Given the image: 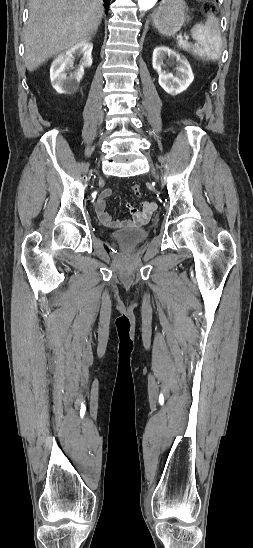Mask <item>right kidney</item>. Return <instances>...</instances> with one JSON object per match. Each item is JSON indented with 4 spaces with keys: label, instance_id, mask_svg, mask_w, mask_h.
<instances>
[{
    "label": "right kidney",
    "instance_id": "obj_1",
    "mask_svg": "<svg viewBox=\"0 0 253 548\" xmlns=\"http://www.w3.org/2000/svg\"><path fill=\"white\" fill-rule=\"evenodd\" d=\"M93 44L85 41L80 42L65 52L60 53L52 62L50 68V79L53 88L60 94H70L75 91L84 75V68L92 65L91 52ZM82 55L81 65L67 75V71L73 67L74 56Z\"/></svg>",
    "mask_w": 253,
    "mask_h": 548
}]
</instances>
